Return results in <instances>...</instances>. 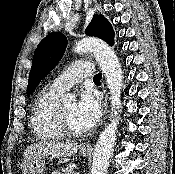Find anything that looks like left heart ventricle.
<instances>
[{
  "instance_id": "left-heart-ventricle-1",
  "label": "left heart ventricle",
  "mask_w": 175,
  "mask_h": 174,
  "mask_svg": "<svg viewBox=\"0 0 175 174\" xmlns=\"http://www.w3.org/2000/svg\"><path fill=\"white\" fill-rule=\"evenodd\" d=\"M62 108L70 127L75 131H85L76 117V103L65 104Z\"/></svg>"
}]
</instances>
